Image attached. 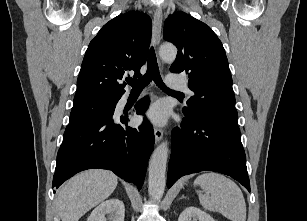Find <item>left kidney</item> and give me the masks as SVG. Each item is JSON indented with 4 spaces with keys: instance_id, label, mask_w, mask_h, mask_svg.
Returning a JSON list of instances; mask_svg holds the SVG:
<instances>
[{
    "instance_id": "5707ae66",
    "label": "left kidney",
    "mask_w": 307,
    "mask_h": 221,
    "mask_svg": "<svg viewBox=\"0 0 307 221\" xmlns=\"http://www.w3.org/2000/svg\"><path fill=\"white\" fill-rule=\"evenodd\" d=\"M178 221H215L209 214L196 207L186 208L179 216Z\"/></svg>"
}]
</instances>
